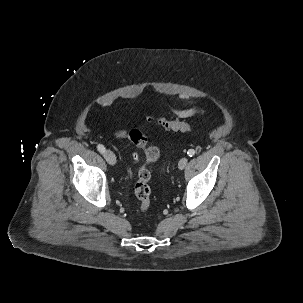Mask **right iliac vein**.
I'll list each match as a JSON object with an SVG mask.
<instances>
[{"label":"right iliac vein","instance_id":"63e3f726","mask_svg":"<svg viewBox=\"0 0 303 303\" xmlns=\"http://www.w3.org/2000/svg\"><path fill=\"white\" fill-rule=\"evenodd\" d=\"M103 156L110 165H114L116 163V157L112 151L106 150L104 152Z\"/></svg>","mask_w":303,"mask_h":303}]
</instances>
